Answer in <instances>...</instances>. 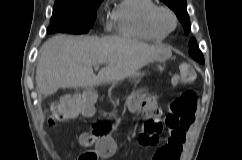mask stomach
Listing matches in <instances>:
<instances>
[{
    "mask_svg": "<svg viewBox=\"0 0 242 160\" xmlns=\"http://www.w3.org/2000/svg\"><path fill=\"white\" fill-rule=\"evenodd\" d=\"M165 68V64L163 61L159 62V64L157 65V69L162 72ZM140 81L139 77L137 80H135L136 83H138Z\"/></svg>",
    "mask_w": 242,
    "mask_h": 160,
    "instance_id": "0dacf381",
    "label": "stomach"
}]
</instances>
